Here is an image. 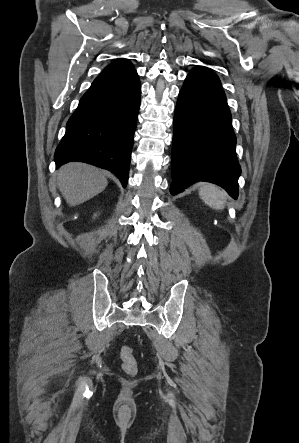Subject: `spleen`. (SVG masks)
I'll list each match as a JSON object with an SVG mask.
<instances>
[{"label": "spleen", "mask_w": 299, "mask_h": 443, "mask_svg": "<svg viewBox=\"0 0 299 443\" xmlns=\"http://www.w3.org/2000/svg\"><path fill=\"white\" fill-rule=\"evenodd\" d=\"M199 194L202 200L212 208L223 209L226 193L217 186L206 184L200 187Z\"/></svg>", "instance_id": "3e777b00"}]
</instances>
